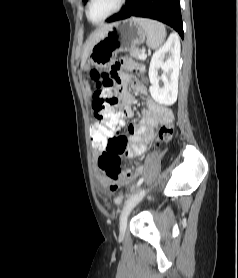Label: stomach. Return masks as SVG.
<instances>
[{
    "mask_svg": "<svg viewBox=\"0 0 238 278\" xmlns=\"http://www.w3.org/2000/svg\"><path fill=\"white\" fill-rule=\"evenodd\" d=\"M145 38L146 32L135 18L115 22L92 47L89 61L100 69L108 68L118 52L136 48Z\"/></svg>",
    "mask_w": 238,
    "mask_h": 278,
    "instance_id": "obj_1",
    "label": "stomach"
}]
</instances>
